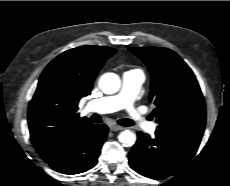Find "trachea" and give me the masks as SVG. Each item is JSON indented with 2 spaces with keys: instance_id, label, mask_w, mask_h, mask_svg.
I'll return each instance as SVG.
<instances>
[{
  "instance_id": "1",
  "label": "trachea",
  "mask_w": 230,
  "mask_h": 186,
  "mask_svg": "<svg viewBox=\"0 0 230 186\" xmlns=\"http://www.w3.org/2000/svg\"><path fill=\"white\" fill-rule=\"evenodd\" d=\"M91 121L92 123H101V117L98 114H94L91 117ZM118 124L127 127L134 125L133 121L126 118L118 120Z\"/></svg>"
}]
</instances>
